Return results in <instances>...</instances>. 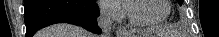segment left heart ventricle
Returning <instances> with one entry per match:
<instances>
[{
  "instance_id": "b2bd125f",
  "label": "left heart ventricle",
  "mask_w": 219,
  "mask_h": 37,
  "mask_svg": "<svg viewBox=\"0 0 219 37\" xmlns=\"http://www.w3.org/2000/svg\"><path fill=\"white\" fill-rule=\"evenodd\" d=\"M132 12L137 19L152 21L164 15L165 7L162 0H142L133 2Z\"/></svg>"
}]
</instances>
